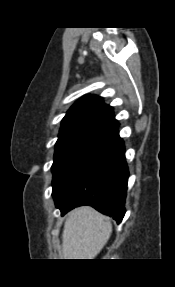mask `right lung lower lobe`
<instances>
[{
    "mask_svg": "<svg viewBox=\"0 0 175 287\" xmlns=\"http://www.w3.org/2000/svg\"><path fill=\"white\" fill-rule=\"evenodd\" d=\"M128 177L124 141L116 128L66 174L52 195L62 215L90 205L120 223L125 214Z\"/></svg>",
    "mask_w": 175,
    "mask_h": 287,
    "instance_id": "right-lung-lower-lobe-1",
    "label": "right lung lower lobe"
}]
</instances>
